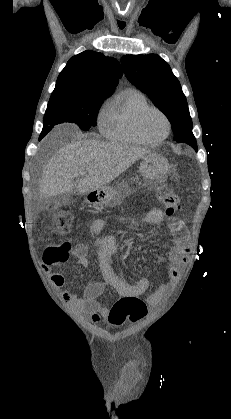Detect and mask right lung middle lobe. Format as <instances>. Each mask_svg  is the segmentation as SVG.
<instances>
[{"instance_id":"1","label":"right lung middle lobe","mask_w":231,"mask_h":419,"mask_svg":"<svg viewBox=\"0 0 231 419\" xmlns=\"http://www.w3.org/2000/svg\"><path fill=\"white\" fill-rule=\"evenodd\" d=\"M106 98H78L65 92H53L44 116L41 140L54 125L71 122L87 131L96 126L98 111Z\"/></svg>"}]
</instances>
